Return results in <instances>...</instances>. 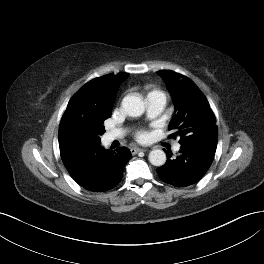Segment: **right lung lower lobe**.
<instances>
[{
  "label": "right lung lower lobe",
  "instance_id": "right-lung-lower-lobe-1",
  "mask_svg": "<svg viewBox=\"0 0 264 264\" xmlns=\"http://www.w3.org/2000/svg\"><path fill=\"white\" fill-rule=\"evenodd\" d=\"M62 161L71 177L83 188L104 192L121 181L123 169L131 159L126 147L106 150L100 140H71L59 143Z\"/></svg>",
  "mask_w": 264,
  "mask_h": 264
}]
</instances>
